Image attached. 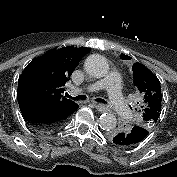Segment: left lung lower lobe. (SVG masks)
<instances>
[{"mask_svg": "<svg viewBox=\"0 0 177 177\" xmlns=\"http://www.w3.org/2000/svg\"><path fill=\"white\" fill-rule=\"evenodd\" d=\"M149 131L139 125H134L129 129L119 128L110 133L111 141L118 145L124 147H132L141 143L147 136Z\"/></svg>", "mask_w": 177, "mask_h": 177, "instance_id": "1", "label": "left lung lower lobe"}]
</instances>
